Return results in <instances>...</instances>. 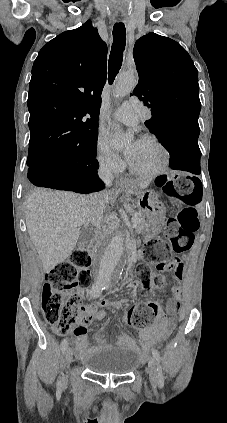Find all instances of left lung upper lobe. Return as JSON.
Returning a JSON list of instances; mask_svg holds the SVG:
<instances>
[{"label": "left lung upper lobe", "instance_id": "5c2ea615", "mask_svg": "<svg viewBox=\"0 0 227 423\" xmlns=\"http://www.w3.org/2000/svg\"><path fill=\"white\" fill-rule=\"evenodd\" d=\"M133 55L139 82L131 95L151 108L146 127L158 139L199 128L198 71L187 51L170 38L149 33L137 40Z\"/></svg>", "mask_w": 227, "mask_h": 423}]
</instances>
